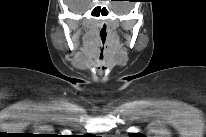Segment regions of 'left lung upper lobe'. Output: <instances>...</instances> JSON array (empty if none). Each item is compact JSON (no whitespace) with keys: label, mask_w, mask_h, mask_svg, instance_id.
I'll return each instance as SVG.
<instances>
[{"label":"left lung upper lobe","mask_w":206,"mask_h":137,"mask_svg":"<svg viewBox=\"0 0 206 137\" xmlns=\"http://www.w3.org/2000/svg\"><path fill=\"white\" fill-rule=\"evenodd\" d=\"M130 136H131V137H139V136H142V135H140V134L130 133Z\"/></svg>","instance_id":"5c2ea615"}]
</instances>
